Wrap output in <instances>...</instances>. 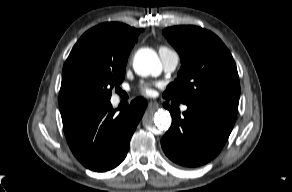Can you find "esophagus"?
<instances>
[{
    "label": "esophagus",
    "mask_w": 292,
    "mask_h": 192,
    "mask_svg": "<svg viewBox=\"0 0 292 192\" xmlns=\"http://www.w3.org/2000/svg\"><path fill=\"white\" fill-rule=\"evenodd\" d=\"M158 107H159V104L157 102H155V101H150L148 103V109H156Z\"/></svg>",
    "instance_id": "34e87169"
}]
</instances>
